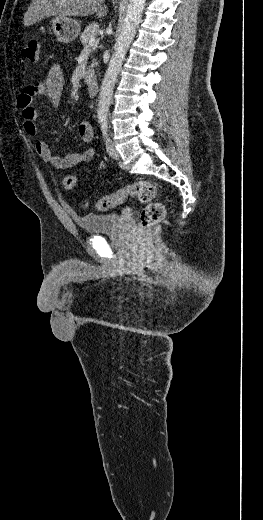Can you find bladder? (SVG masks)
Instances as JSON below:
<instances>
[{
  "mask_svg": "<svg viewBox=\"0 0 263 520\" xmlns=\"http://www.w3.org/2000/svg\"><path fill=\"white\" fill-rule=\"evenodd\" d=\"M77 227L86 234L118 233L125 228V218L117 213L73 215Z\"/></svg>",
  "mask_w": 263,
  "mask_h": 520,
  "instance_id": "bladder-1",
  "label": "bladder"
}]
</instances>
